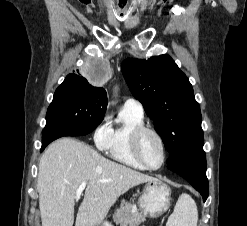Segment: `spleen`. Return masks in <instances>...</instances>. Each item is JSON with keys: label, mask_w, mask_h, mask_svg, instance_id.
Returning a JSON list of instances; mask_svg holds the SVG:
<instances>
[{"label": "spleen", "mask_w": 247, "mask_h": 226, "mask_svg": "<svg viewBox=\"0 0 247 226\" xmlns=\"http://www.w3.org/2000/svg\"><path fill=\"white\" fill-rule=\"evenodd\" d=\"M198 210L190 195H180L166 226H197Z\"/></svg>", "instance_id": "spleen-1"}]
</instances>
